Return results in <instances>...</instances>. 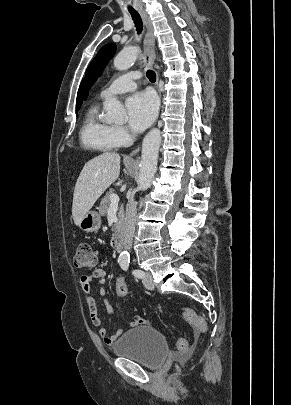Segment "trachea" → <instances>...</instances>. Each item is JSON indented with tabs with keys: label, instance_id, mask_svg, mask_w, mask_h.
<instances>
[{
	"label": "trachea",
	"instance_id": "obj_1",
	"mask_svg": "<svg viewBox=\"0 0 291 405\" xmlns=\"http://www.w3.org/2000/svg\"><path fill=\"white\" fill-rule=\"evenodd\" d=\"M130 14L135 23L138 33H140L142 31V27H143L140 15L136 11H130ZM147 77L150 80V82H152V83H154L156 81V73L152 70L147 71Z\"/></svg>",
	"mask_w": 291,
	"mask_h": 405
}]
</instances>
